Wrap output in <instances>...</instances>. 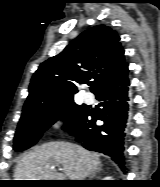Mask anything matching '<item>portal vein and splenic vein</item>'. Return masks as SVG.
<instances>
[{"label":"portal vein and splenic vein","instance_id":"obj_1","mask_svg":"<svg viewBox=\"0 0 160 187\" xmlns=\"http://www.w3.org/2000/svg\"><path fill=\"white\" fill-rule=\"evenodd\" d=\"M59 177L61 178V180H64V179H65L63 175H60Z\"/></svg>","mask_w":160,"mask_h":187}]
</instances>
